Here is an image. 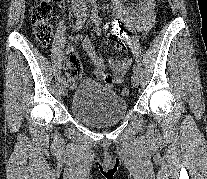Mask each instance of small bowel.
Wrapping results in <instances>:
<instances>
[{
	"label": "small bowel",
	"mask_w": 207,
	"mask_h": 179,
	"mask_svg": "<svg viewBox=\"0 0 207 179\" xmlns=\"http://www.w3.org/2000/svg\"><path fill=\"white\" fill-rule=\"evenodd\" d=\"M63 9L64 5L59 4ZM155 0H140L135 11H130V8H126L125 14L127 15L123 20L116 23V28L123 29L127 25H130L137 31L147 34L151 29L154 20H155ZM130 17V18H129ZM83 48L92 60L95 65L94 76L97 79L103 80L105 87L109 90H112L116 85H119L123 82L124 74L128 71L131 65V60L124 59H109L108 63L111 69L113 70V75L107 74L104 71V60L96 52L91 40L89 37H84ZM115 48L118 51H122L124 46L120 43L115 44ZM70 86L73 87L74 83L70 82Z\"/></svg>",
	"instance_id": "1"
}]
</instances>
